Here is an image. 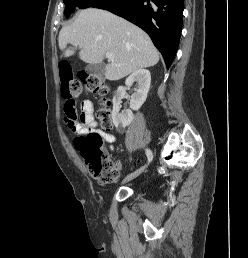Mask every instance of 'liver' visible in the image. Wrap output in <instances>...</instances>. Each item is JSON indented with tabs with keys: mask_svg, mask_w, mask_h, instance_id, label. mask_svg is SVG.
<instances>
[{
	"mask_svg": "<svg viewBox=\"0 0 248 258\" xmlns=\"http://www.w3.org/2000/svg\"><path fill=\"white\" fill-rule=\"evenodd\" d=\"M59 48L64 56L74 54L68 44L79 46V58L85 63L98 64L106 53L115 56L105 66V77L116 81L143 68L154 66L159 53L149 36L139 27L108 11L88 8L80 11L75 21L61 29Z\"/></svg>",
	"mask_w": 248,
	"mask_h": 258,
	"instance_id": "liver-1",
	"label": "liver"
}]
</instances>
